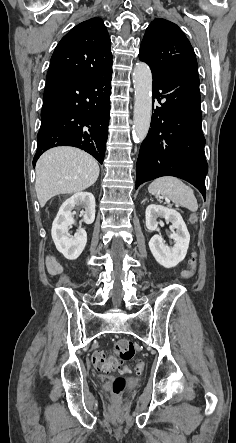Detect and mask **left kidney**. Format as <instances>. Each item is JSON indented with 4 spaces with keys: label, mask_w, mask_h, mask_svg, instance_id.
<instances>
[{
    "label": "left kidney",
    "mask_w": 236,
    "mask_h": 443,
    "mask_svg": "<svg viewBox=\"0 0 236 443\" xmlns=\"http://www.w3.org/2000/svg\"><path fill=\"white\" fill-rule=\"evenodd\" d=\"M146 227L151 231L158 230V225H162L164 218L172 223V228L176 229L170 234L174 244L172 247L165 244L162 236L155 234L149 241V248L155 260L165 268H172L184 260L190 242V234L182 216L174 209L161 205L151 204L146 208Z\"/></svg>",
    "instance_id": "obj_1"
}]
</instances>
